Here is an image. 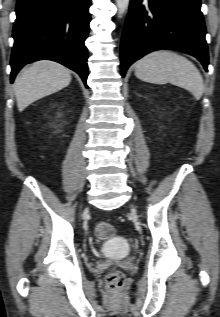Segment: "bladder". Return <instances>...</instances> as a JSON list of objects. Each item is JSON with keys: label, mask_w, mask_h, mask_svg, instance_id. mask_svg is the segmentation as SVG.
<instances>
[{"label": "bladder", "mask_w": 220, "mask_h": 317, "mask_svg": "<svg viewBox=\"0 0 220 317\" xmlns=\"http://www.w3.org/2000/svg\"><path fill=\"white\" fill-rule=\"evenodd\" d=\"M129 251L128 242L119 235L107 238L102 245V253L115 258L125 257L129 254Z\"/></svg>", "instance_id": "31cf9c89"}]
</instances>
